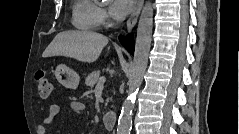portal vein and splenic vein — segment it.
Instances as JSON below:
<instances>
[{
  "label": "portal vein and splenic vein",
  "instance_id": "18ae733b",
  "mask_svg": "<svg viewBox=\"0 0 239 134\" xmlns=\"http://www.w3.org/2000/svg\"><path fill=\"white\" fill-rule=\"evenodd\" d=\"M105 81H106L105 77H101L97 84V88H102Z\"/></svg>",
  "mask_w": 239,
  "mask_h": 134
}]
</instances>
